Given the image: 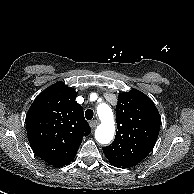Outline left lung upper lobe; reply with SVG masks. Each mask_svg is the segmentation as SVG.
Masks as SVG:
<instances>
[{
    "label": "left lung upper lobe",
    "mask_w": 194,
    "mask_h": 194,
    "mask_svg": "<svg viewBox=\"0 0 194 194\" xmlns=\"http://www.w3.org/2000/svg\"><path fill=\"white\" fill-rule=\"evenodd\" d=\"M117 133L114 142L103 147L109 162L130 168L145 159L153 149L160 130L161 117L153 101L133 89L118 96Z\"/></svg>",
    "instance_id": "left-lung-upper-lobe-1"
}]
</instances>
